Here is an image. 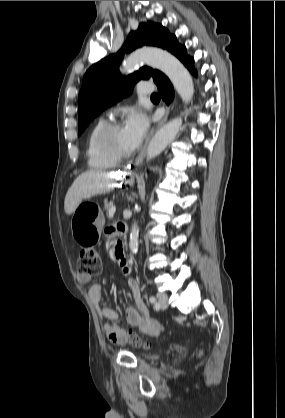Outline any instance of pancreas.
Segmentation results:
<instances>
[{
	"label": "pancreas",
	"mask_w": 285,
	"mask_h": 418,
	"mask_svg": "<svg viewBox=\"0 0 285 418\" xmlns=\"http://www.w3.org/2000/svg\"><path fill=\"white\" fill-rule=\"evenodd\" d=\"M110 208H111V204L108 203V201L105 200L104 201V209L108 212Z\"/></svg>",
	"instance_id": "pancreas-1"
}]
</instances>
